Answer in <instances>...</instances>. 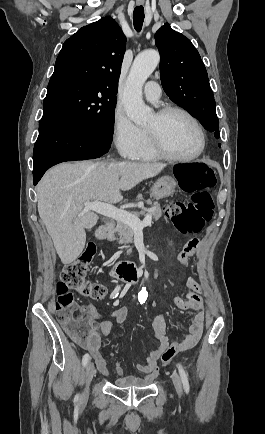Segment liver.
<instances>
[{
	"instance_id": "6515ba94",
	"label": "liver",
	"mask_w": 265,
	"mask_h": 434,
	"mask_svg": "<svg viewBox=\"0 0 265 434\" xmlns=\"http://www.w3.org/2000/svg\"><path fill=\"white\" fill-rule=\"evenodd\" d=\"M167 164L135 162H73L46 172L37 186V208L62 264H72L99 218L85 212L84 202H121V190H131L154 178Z\"/></svg>"
}]
</instances>
